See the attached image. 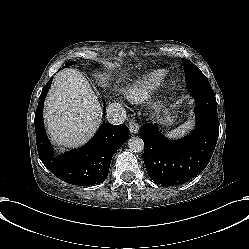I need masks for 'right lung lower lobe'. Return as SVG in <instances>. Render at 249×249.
I'll list each match as a JSON object with an SVG mask.
<instances>
[{
  "label": "right lung lower lobe",
  "instance_id": "1",
  "mask_svg": "<svg viewBox=\"0 0 249 249\" xmlns=\"http://www.w3.org/2000/svg\"><path fill=\"white\" fill-rule=\"evenodd\" d=\"M52 79L44 86L35 113L34 124L39 157L46 168L67 183L84 186L102 183L108 175L112 156L128 139L129 129L124 124L104 123L85 146L62 156L53 157L42 118L44 100Z\"/></svg>",
  "mask_w": 249,
  "mask_h": 249
}]
</instances>
